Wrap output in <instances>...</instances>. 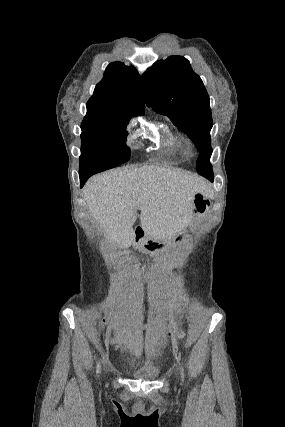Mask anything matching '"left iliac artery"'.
<instances>
[{"label": "left iliac artery", "instance_id": "obj_1", "mask_svg": "<svg viewBox=\"0 0 285 427\" xmlns=\"http://www.w3.org/2000/svg\"><path fill=\"white\" fill-rule=\"evenodd\" d=\"M181 375H182V380H184L183 368H182V370H181Z\"/></svg>", "mask_w": 285, "mask_h": 427}]
</instances>
